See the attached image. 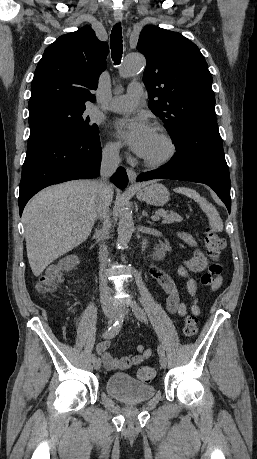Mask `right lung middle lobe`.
Segmentation results:
<instances>
[{"label": "right lung middle lobe", "mask_w": 257, "mask_h": 459, "mask_svg": "<svg viewBox=\"0 0 257 459\" xmlns=\"http://www.w3.org/2000/svg\"><path fill=\"white\" fill-rule=\"evenodd\" d=\"M85 109L77 106H50L30 111V129L51 128L73 136L97 135L98 126L84 116Z\"/></svg>", "instance_id": "obj_1"}]
</instances>
